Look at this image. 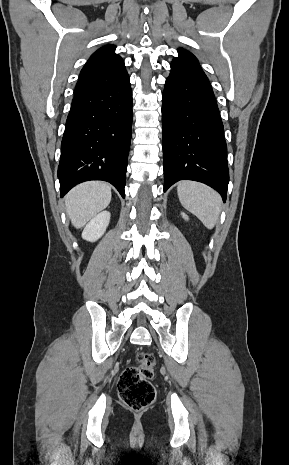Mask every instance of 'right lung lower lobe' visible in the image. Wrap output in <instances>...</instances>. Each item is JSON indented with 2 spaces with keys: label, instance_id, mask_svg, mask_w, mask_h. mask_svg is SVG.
<instances>
[{
  "label": "right lung lower lobe",
  "instance_id": "obj_1",
  "mask_svg": "<svg viewBox=\"0 0 289 465\" xmlns=\"http://www.w3.org/2000/svg\"><path fill=\"white\" fill-rule=\"evenodd\" d=\"M131 131L128 75L113 86L75 95L61 143V197L81 182L104 180L124 198Z\"/></svg>",
  "mask_w": 289,
  "mask_h": 465
}]
</instances>
